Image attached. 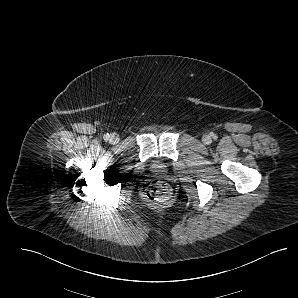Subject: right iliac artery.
<instances>
[{
	"label": "right iliac artery",
	"mask_w": 298,
	"mask_h": 298,
	"mask_svg": "<svg viewBox=\"0 0 298 298\" xmlns=\"http://www.w3.org/2000/svg\"><path fill=\"white\" fill-rule=\"evenodd\" d=\"M103 138L107 140L109 138V134H104Z\"/></svg>",
	"instance_id": "82829eb1"
}]
</instances>
